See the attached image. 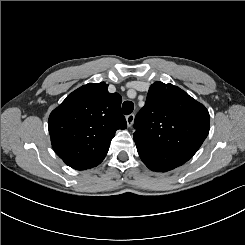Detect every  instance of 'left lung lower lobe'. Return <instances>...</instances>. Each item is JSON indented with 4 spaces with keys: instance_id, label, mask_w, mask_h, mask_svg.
<instances>
[{
    "instance_id": "left-lung-lower-lobe-1",
    "label": "left lung lower lobe",
    "mask_w": 245,
    "mask_h": 245,
    "mask_svg": "<svg viewBox=\"0 0 245 245\" xmlns=\"http://www.w3.org/2000/svg\"><path fill=\"white\" fill-rule=\"evenodd\" d=\"M137 151L144 164L153 171L167 172L186 161L180 157L166 151H154L137 147Z\"/></svg>"
}]
</instances>
